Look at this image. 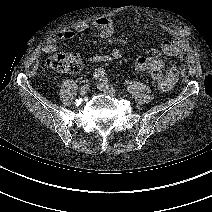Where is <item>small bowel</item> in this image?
I'll list each match as a JSON object with an SVG mask.
<instances>
[{"mask_svg": "<svg viewBox=\"0 0 212 212\" xmlns=\"http://www.w3.org/2000/svg\"><path fill=\"white\" fill-rule=\"evenodd\" d=\"M90 28L98 30V36L101 39H109L113 36L115 25L114 21L108 17H99L91 22H81L76 25L74 30H63L48 38L47 43L43 47V52L51 54L61 49L59 40H71L76 33H83ZM76 47L85 48V45H77ZM161 50L168 56H177L181 60L184 59L187 52V45L184 40L175 38L172 40H165L161 43ZM122 57L118 49H111L106 54L93 55L89 58L91 63H109L117 61ZM163 60L159 56L140 57L134 64V70L137 72H144L153 67H162ZM179 77V69L175 66L169 67L166 77L162 83H159V88L162 91H169L176 83Z\"/></svg>", "mask_w": 212, "mask_h": 212, "instance_id": "obj_1", "label": "small bowel"}]
</instances>
